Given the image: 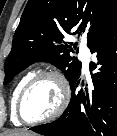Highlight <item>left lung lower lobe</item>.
Segmentation results:
<instances>
[{
	"label": "left lung lower lobe",
	"instance_id": "left-lung-lower-lobe-1",
	"mask_svg": "<svg viewBox=\"0 0 117 136\" xmlns=\"http://www.w3.org/2000/svg\"><path fill=\"white\" fill-rule=\"evenodd\" d=\"M90 51L101 65L100 72L92 74L94 89L76 92L79 76L70 85L71 101L62 116L32 131L47 136H117V21ZM96 68L91 62L90 72Z\"/></svg>",
	"mask_w": 117,
	"mask_h": 136
}]
</instances>
